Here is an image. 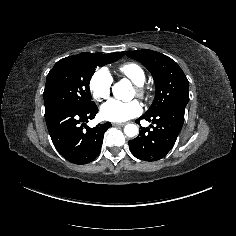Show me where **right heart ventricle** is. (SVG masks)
Listing matches in <instances>:
<instances>
[{
	"label": "right heart ventricle",
	"mask_w": 236,
	"mask_h": 236,
	"mask_svg": "<svg viewBox=\"0 0 236 236\" xmlns=\"http://www.w3.org/2000/svg\"><path fill=\"white\" fill-rule=\"evenodd\" d=\"M119 72L133 83H143L145 80V72L143 68L135 62H126L119 66Z\"/></svg>",
	"instance_id": "e07e8e85"
}]
</instances>
